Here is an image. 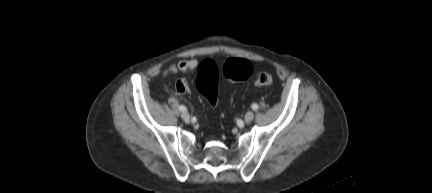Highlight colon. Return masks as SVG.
Returning a JSON list of instances; mask_svg holds the SVG:
<instances>
[{
  "instance_id": "obj_1",
  "label": "colon",
  "mask_w": 432,
  "mask_h": 193,
  "mask_svg": "<svg viewBox=\"0 0 432 193\" xmlns=\"http://www.w3.org/2000/svg\"><path fill=\"white\" fill-rule=\"evenodd\" d=\"M252 73V65L249 61L239 58H230L225 61L222 67V75L227 80H245ZM219 72L216 64L211 60H205L201 63L196 85L201 94L207 101L215 106L217 103V83ZM273 83V77L270 73H260L256 80L257 87H270Z\"/></svg>"
}]
</instances>
